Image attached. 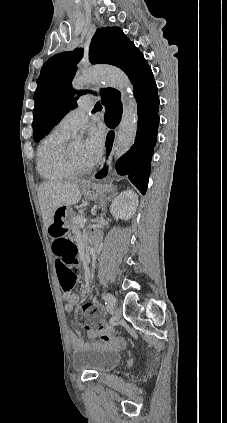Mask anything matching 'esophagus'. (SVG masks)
Returning a JSON list of instances; mask_svg holds the SVG:
<instances>
[{
	"label": "esophagus",
	"instance_id": "obj_1",
	"mask_svg": "<svg viewBox=\"0 0 227 423\" xmlns=\"http://www.w3.org/2000/svg\"><path fill=\"white\" fill-rule=\"evenodd\" d=\"M115 135V136H114ZM116 134L114 129L108 130V135L105 138V151L103 160L101 162V166L99 170L94 173L92 176V180L94 181H103L105 180L112 168V155L114 151V144H115Z\"/></svg>",
	"mask_w": 227,
	"mask_h": 423
}]
</instances>
